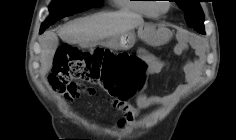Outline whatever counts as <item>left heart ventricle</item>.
<instances>
[{"instance_id": "1", "label": "left heart ventricle", "mask_w": 236, "mask_h": 140, "mask_svg": "<svg viewBox=\"0 0 236 140\" xmlns=\"http://www.w3.org/2000/svg\"><path fill=\"white\" fill-rule=\"evenodd\" d=\"M163 7H166V4H161Z\"/></svg>"}]
</instances>
